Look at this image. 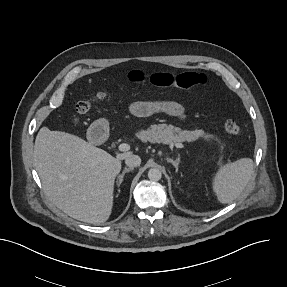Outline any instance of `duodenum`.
I'll use <instances>...</instances> for the list:
<instances>
[{"label":"duodenum","instance_id":"obj_1","mask_svg":"<svg viewBox=\"0 0 287 287\" xmlns=\"http://www.w3.org/2000/svg\"><path fill=\"white\" fill-rule=\"evenodd\" d=\"M108 128L104 124H97L93 127L91 132V138L95 141L106 140L108 137Z\"/></svg>","mask_w":287,"mask_h":287}]
</instances>
